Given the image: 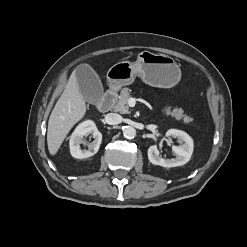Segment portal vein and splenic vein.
<instances>
[{
	"instance_id": "portal-vein-and-splenic-vein-1",
	"label": "portal vein and splenic vein",
	"mask_w": 247,
	"mask_h": 247,
	"mask_svg": "<svg viewBox=\"0 0 247 247\" xmlns=\"http://www.w3.org/2000/svg\"><path fill=\"white\" fill-rule=\"evenodd\" d=\"M128 103H129L130 105L134 106V105H135V100H134L133 98H130V99L128 100Z\"/></svg>"
}]
</instances>
